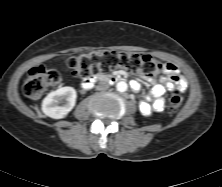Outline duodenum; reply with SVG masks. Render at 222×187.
<instances>
[{"mask_svg":"<svg viewBox=\"0 0 222 187\" xmlns=\"http://www.w3.org/2000/svg\"><path fill=\"white\" fill-rule=\"evenodd\" d=\"M125 76L120 74H110V75H99L94 77L93 79L87 80L83 83V87L85 89H89L93 86L96 81H105V82H118L124 80Z\"/></svg>","mask_w":222,"mask_h":187,"instance_id":"1","label":"duodenum"}]
</instances>
